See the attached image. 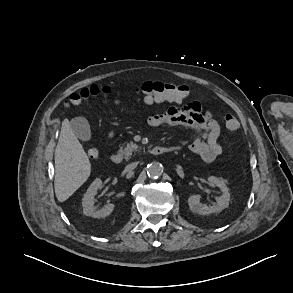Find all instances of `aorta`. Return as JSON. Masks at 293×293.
I'll list each match as a JSON object with an SVG mask.
<instances>
[{
	"label": "aorta",
	"mask_w": 293,
	"mask_h": 293,
	"mask_svg": "<svg viewBox=\"0 0 293 293\" xmlns=\"http://www.w3.org/2000/svg\"><path fill=\"white\" fill-rule=\"evenodd\" d=\"M163 173V165L160 162L153 161L147 166V174L151 178H158Z\"/></svg>",
	"instance_id": "1"
}]
</instances>
